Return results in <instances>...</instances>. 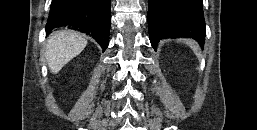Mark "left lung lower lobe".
Here are the masks:
<instances>
[{
	"label": "left lung lower lobe",
	"mask_w": 257,
	"mask_h": 130,
	"mask_svg": "<svg viewBox=\"0 0 257 130\" xmlns=\"http://www.w3.org/2000/svg\"><path fill=\"white\" fill-rule=\"evenodd\" d=\"M147 21L154 50L163 38L192 37L204 44L202 0H149Z\"/></svg>",
	"instance_id": "obj_1"
}]
</instances>
